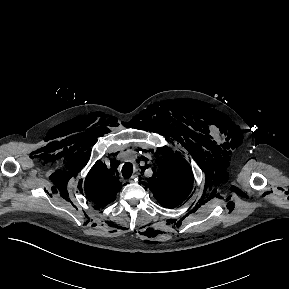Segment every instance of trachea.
Returning a JSON list of instances; mask_svg holds the SVG:
<instances>
[{
	"label": "trachea",
	"mask_w": 289,
	"mask_h": 289,
	"mask_svg": "<svg viewBox=\"0 0 289 289\" xmlns=\"http://www.w3.org/2000/svg\"><path fill=\"white\" fill-rule=\"evenodd\" d=\"M133 173V166L132 164L128 163L122 167V175L124 178L128 179L132 176Z\"/></svg>",
	"instance_id": "obj_1"
}]
</instances>
